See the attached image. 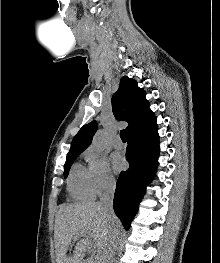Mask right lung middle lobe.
<instances>
[{
    "label": "right lung middle lobe",
    "mask_w": 220,
    "mask_h": 263,
    "mask_svg": "<svg viewBox=\"0 0 220 263\" xmlns=\"http://www.w3.org/2000/svg\"><path fill=\"white\" fill-rule=\"evenodd\" d=\"M79 156V154H72V155H68L67 156V160L64 166V177L66 178L68 176L70 167L72 165V163L74 162V160Z\"/></svg>",
    "instance_id": "right-lung-middle-lobe-1"
}]
</instances>
